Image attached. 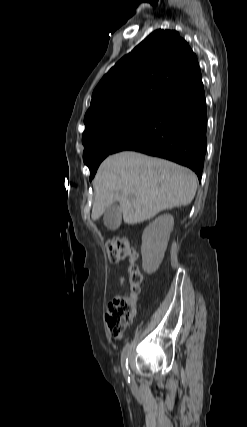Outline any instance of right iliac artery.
<instances>
[{"instance_id": "1", "label": "right iliac artery", "mask_w": 247, "mask_h": 427, "mask_svg": "<svg viewBox=\"0 0 247 427\" xmlns=\"http://www.w3.org/2000/svg\"><path fill=\"white\" fill-rule=\"evenodd\" d=\"M128 350H129V343H126V345L123 348L122 354H121V366L123 369V374L128 380H130V370L128 368Z\"/></svg>"}]
</instances>
